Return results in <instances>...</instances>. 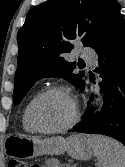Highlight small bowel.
I'll use <instances>...</instances> for the list:
<instances>
[{
    "mask_svg": "<svg viewBox=\"0 0 125 167\" xmlns=\"http://www.w3.org/2000/svg\"><path fill=\"white\" fill-rule=\"evenodd\" d=\"M41 167H57L55 160H48Z\"/></svg>",
    "mask_w": 125,
    "mask_h": 167,
    "instance_id": "1",
    "label": "small bowel"
}]
</instances>
